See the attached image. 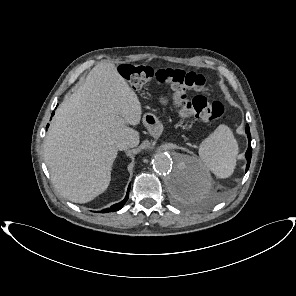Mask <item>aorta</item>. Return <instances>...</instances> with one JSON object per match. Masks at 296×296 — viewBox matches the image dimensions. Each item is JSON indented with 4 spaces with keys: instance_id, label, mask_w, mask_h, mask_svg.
Instances as JSON below:
<instances>
[{
    "instance_id": "762f6f07",
    "label": "aorta",
    "mask_w": 296,
    "mask_h": 296,
    "mask_svg": "<svg viewBox=\"0 0 296 296\" xmlns=\"http://www.w3.org/2000/svg\"><path fill=\"white\" fill-rule=\"evenodd\" d=\"M152 166L163 176L167 192L176 202H198L209 193V180L192 156L158 152L152 159Z\"/></svg>"
}]
</instances>
